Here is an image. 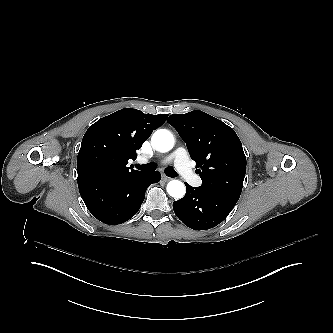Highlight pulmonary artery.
Segmentation results:
<instances>
[{
    "label": "pulmonary artery",
    "mask_w": 333,
    "mask_h": 333,
    "mask_svg": "<svg viewBox=\"0 0 333 333\" xmlns=\"http://www.w3.org/2000/svg\"><path fill=\"white\" fill-rule=\"evenodd\" d=\"M188 150L184 147L178 150V152L176 153L175 151L171 154H169L164 160H156L154 163L156 165L158 164H162L165 165L168 161H170L173 157L172 155H176L175 156V160H176V168L175 171L177 174L182 175V178L184 181L188 182V183H192L193 186H200L201 185V178L195 176V174L191 171L190 167L187 166V162H188ZM148 165L151 163L149 160L146 162Z\"/></svg>",
    "instance_id": "pulmonary-artery-1"
}]
</instances>
